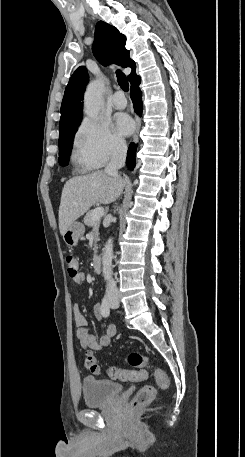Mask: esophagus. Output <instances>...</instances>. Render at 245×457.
Masks as SVG:
<instances>
[{"instance_id":"34e87169","label":"esophagus","mask_w":245,"mask_h":457,"mask_svg":"<svg viewBox=\"0 0 245 457\" xmlns=\"http://www.w3.org/2000/svg\"><path fill=\"white\" fill-rule=\"evenodd\" d=\"M135 122H136V129H135V132L133 135V141L137 142L139 131H140V125H141L138 115H135Z\"/></svg>"}]
</instances>
